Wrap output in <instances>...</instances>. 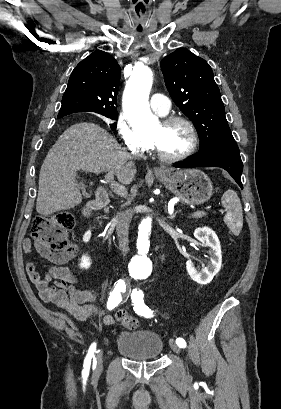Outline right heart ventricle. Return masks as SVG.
Instances as JSON below:
<instances>
[{"instance_id":"1","label":"right heart ventricle","mask_w":281,"mask_h":409,"mask_svg":"<svg viewBox=\"0 0 281 409\" xmlns=\"http://www.w3.org/2000/svg\"><path fill=\"white\" fill-rule=\"evenodd\" d=\"M143 150H144V144L142 143V145L139 148L135 149L134 151L135 152H140V151H143Z\"/></svg>"}]
</instances>
